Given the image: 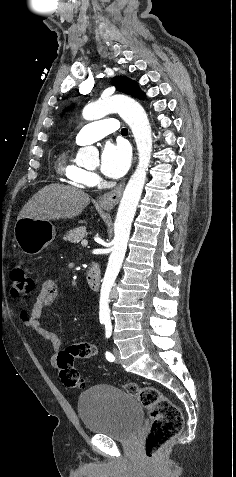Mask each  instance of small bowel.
Wrapping results in <instances>:
<instances>
[{
	"mask_svg": "<svg viewBox=\"0 0 236 477\" xmlns=\"http://www.w3.org/2000/svg\"><path fill=\"white\" fill-rule=\"evenodd\" d=\"M59 284L58 278H50L46 280L36 297L34 298L29 312L23 313L25 325L40 334L45 341L51 346L54 353L50 358V364L57 366V351L61 348V340L57 333L51 329L41 325V318L45 309L53 302L57 294ZM96 353V348L91 345V355Z\"/></svg>",
	"mask_w": 236,
	"mask_h": 477,
	"instance_id": "c3829d8e",
	"label": "small bowel"
}]
</instances>
